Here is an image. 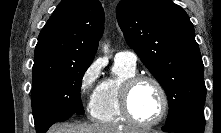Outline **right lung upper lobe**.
<instances>
[{
    "label": "right lung upper lobe",
    "mask_w": 221,
    "mask_h": 133,
    "mask_svg": "<svg viewBox=\"0 0 221 133\" xmlns=\"http://www.w3.org/2000/svg\"><path fill=\"white\" fill-rule=\"evenodd\" d=\"M103 31L104 11L98 0H62L40 32L33 72L92 62Z\"/></svg>",
    "instance_id": "cb5924a9"
}]
</instances>
